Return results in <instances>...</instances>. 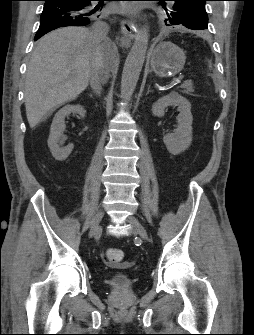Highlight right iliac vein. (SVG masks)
Wrapping results in <instances>:
<instances>
[{"instance_id":"right-iliac-vein-1","label":"right iliac vein","mask_w":254,"mask_h":335,"mask_svg":"<svg viewBox=\"0 0 254 335\" xmlns=\"http://www.w3.org/2000/svg\"><path fill=\"white\" fill-rule=\"evenodd\" d=\"M104 216L103 210H98L92 220L90 230H89V238H93L101 233L100 222Z\"/></svg>"}]
</instances>
